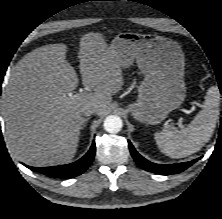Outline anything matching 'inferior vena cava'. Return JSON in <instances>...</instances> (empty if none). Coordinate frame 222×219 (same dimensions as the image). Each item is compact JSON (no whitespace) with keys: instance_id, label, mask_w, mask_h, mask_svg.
<instances>
[{"instance_id":"inferior-vena-cava-1","label":"inferior vena cava","mask_w":222,"mask_h":219,"mask_svg":"<svg viewBox=\"0 0 222 219\" xmlns=\"http://www.w3.org/2000/svg\"><path fill=\"white\" fill-rule=\"evenodd\" d=\"M98 107L97 106H90V107H87L84 112H83V115L85 116H89L91 114H94V113H97L98 112Z\"/></svg>"}]
</instances>
